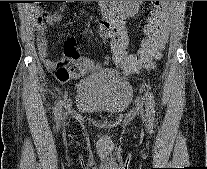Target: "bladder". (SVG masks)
I'll return each mask as SVG.
<instances>
[{
	"label": "bladder",
	"mask_w": 207,
	"mask_h": 169,
	"mask_svg": "<svg viewBox=\"0 0 207 169\" xmlns=\"http://www.w3.org/2000/svg\"><path fill=\"white\" fill-rule=\"evenodd\" d=\"M133 99V89L118 73L103 70L77 85L76 107L86 114L117 116Z\"/></svg>",
	"instance_id": "31cf9c89"
}]
</instances>
